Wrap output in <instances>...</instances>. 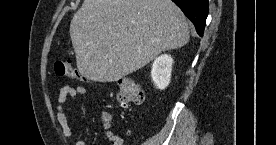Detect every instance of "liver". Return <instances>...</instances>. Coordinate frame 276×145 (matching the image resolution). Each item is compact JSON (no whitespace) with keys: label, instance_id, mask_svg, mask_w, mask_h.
Instances as JSON below:
<instances>
[{"label":"liver","instance_id":"6515ba94","mask_svg":"<svg viewBox=\"0 0 276 145\" xmlns=\"http://www.w3.org/2000/svg\"><path fill=\"white\" fill-rule=\"evenodd\" d=\"M82 76L114 82L164 51L189 41V26L171 0H84L70 23Z\"/></svg>","mask_w":276,"mask_h":145}]
</instances>
